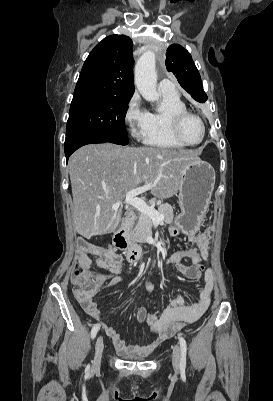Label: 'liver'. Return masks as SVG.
<instances>
[{
	"label": "liver",
	"instance_id": "1",
	"mask_svg": "<svg viewBox=\"0 0 273 401\" xmlns=\"http://www.w3.org/2000/svg\"><path fill=\"white\" fill-rule=\"evenodd\" d=\"M198 154L185 148H135L111 142L81 146L68 160L75 231L85 239L114 233L122 211L112 205L144 184H153L151 192L157 198L173 196L182 168L200 160Z\"/></svg>",
	"mask_w": 273,
	"mask_h": 401
}]
</instances>
